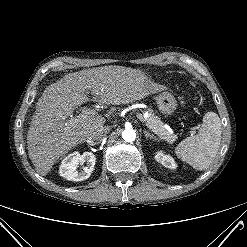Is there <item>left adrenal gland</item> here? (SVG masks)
Returning a JSON list of instances; mask_svg holds the SVG:
<instances>
[{
  "instance_id": "obj_1",
  "label": "left adrenal gland",
  "mask_w": 247,
  "mask_h": 247,
  "mask_svg": "<svg viewBox=\"0 0 247 247\" xmlns=\"http://www.w3.org/2000/svg\"><path fill=\"white\" fill-rule=\"evenodd\" d=\"M144 134L146 139L149 138V139H153L154 141H157V138L153 134H150L148 131L144 130Z\"/></svg>"
}]
</instances>
